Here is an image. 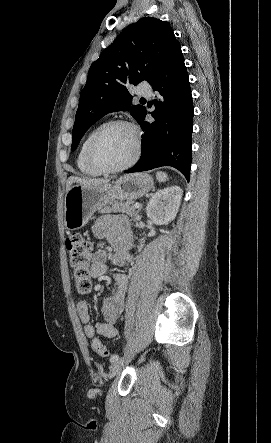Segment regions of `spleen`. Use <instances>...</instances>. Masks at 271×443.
Returning a JSON list of instances; mask_svg holds the SVG:
<instances>
[{"label": "spleen", "mask_w": 271, "mask_h": 443, "mask_svg": "<svg viewBox=\"0 0 271 443\" xmlns=\"http://www.w3.org/2000/svg\"><path fill=\"white\" fill-rule=\"evenodd\" d=\"M156 178L158 182H166V180H168V176L165 172H157Z\"/></svg>", "instance_id": "3e777b00"}]
</instances>
